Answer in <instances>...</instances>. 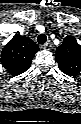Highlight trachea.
<instances>
[{
  "mask_svg": "<svg viewBox=\"0 0 81 124\" xmlns=\"http://www.w3.org/2000/svg\"><path fill=\"white\" fill-rule=\"evenodd\" d=\"M47 41V37L45 34H40L38 37H37V42L39 44H44L45 42Z\"/></svg>",
  "mask_w": 81,
  "mask_h": 124,
  "instance_id": "trachea-1",
  "label": "trachea"
}]
</instances>
